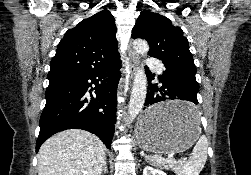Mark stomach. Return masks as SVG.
Instances as JSON below:
<instances>
[{
  "mask_svg": "<svg viewBox=\"0 0 251 175\" xmlns=\"http://www.w3.org/2000/svg\"><path fill=\"white\" fill-rule=\"evenodd\" d=\"M192 100H160L141 113L135 129L137 141L152 154L185 151L200 135V119Z\"/></svg>",
  "mask_w": 251,
  "mask_h": 175,
  "instance_id": "1",
  "label": "stomach"
}]
</instances>
